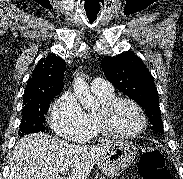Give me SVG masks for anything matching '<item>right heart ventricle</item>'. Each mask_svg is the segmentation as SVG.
I'll return each instance as SVG.
<instances>
[{
	"mask_svg": "<svg viewBox=\"0 0 183 179\" xmlns=\"http://www.w3.org/2000/svg\"><path fill=\"white\" fill-rule=\"evenodd\" d=\"M94 94L96 95V97L100 100L101 103H105L108 100L112 99L115 97L113 91L108 92V93H98V92H94ZM87 117L89 119V122L91 124V133L96 134L99 132L96 122H95V113H88Z\"/></svg>",
	"mask_w": 183,
	"mask_h": 179,
	"instance_id": "right-heart-ventricle-1",
	"label": "right heart ventricle"
}]
</instances>
